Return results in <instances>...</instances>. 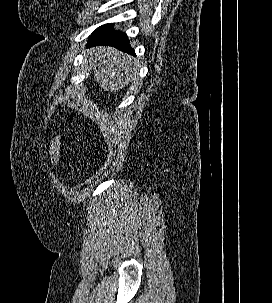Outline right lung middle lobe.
<instances>
[{"label":"right lung middle lobe","mask_w":272,"mask_h":303,"mask_svg":"<svg viewBox=\"0 0 272 303\" xmlns=\"http://www.w3.org/2000/svg\"><path fill=\"white\" fill-rule=\"evenodd\" d=\"M107 25H109V24H107ZM107 25H104V26H107ZM104 26H101V27H104ZM101 27H99V28H101Z\"/></svg>","instance_id":"1"}]
</instances>
